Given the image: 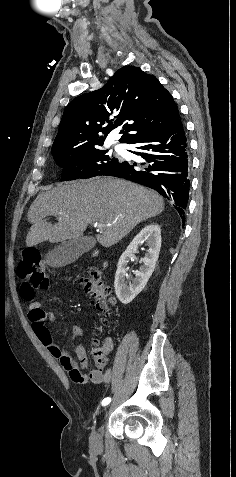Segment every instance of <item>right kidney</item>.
Instances as JSON below:
<instances>
[{"label":"right kidney","instance_id":"ca27d5eb","mask_svg":"<svg viewBox=\"0 0 236 477\" xmlns=\"http://www.w3.org/2000/svg\"><path fill=\"white\" fill-rule=\"evenodd\" d=\"M144 242L148 246L147 253L144 258L140 260L142 266L138 271L134 272L135 278L128 285L125 282L128 270L127 265L129 260L134 258V253L138 246ZM160 248L161 229L157 224H150L137 234L126 251L121 255L114 281L115 292L121 303L125 305L129 304L144 289L155 269Z\"/></svg>","mask_w":236,"mask_h":477}]
</instances>
